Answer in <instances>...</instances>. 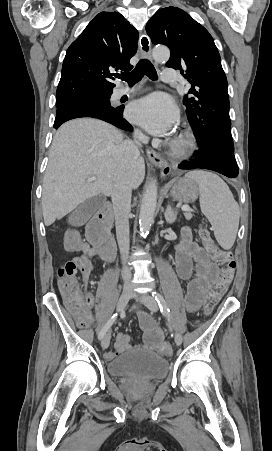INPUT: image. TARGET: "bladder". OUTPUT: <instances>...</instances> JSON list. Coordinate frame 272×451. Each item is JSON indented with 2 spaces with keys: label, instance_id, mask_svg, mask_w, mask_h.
Returning <instances> with one entry per match:
<instances>
[{
  "label": "bladder",
  "instance_id": "obj_1",
  "mask_svg": "<svg viewBox=\"0 0 272 451\" xmlns=\"http://www.w3.org/2000/svg\"><path fill=\"white\" fill-rule=\"evenodd\" d=\"M169 362L162 355L153 352L117 355L110 360L106 372L120 378L158 379L164 378L169 370Z\"/></svg>",
  "mask_w": 272,
  "mask_h": 451
}]
</instances>
